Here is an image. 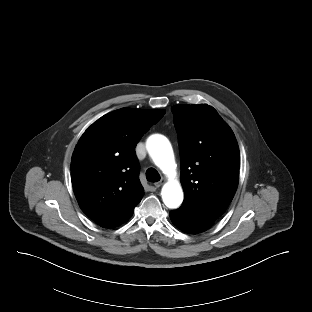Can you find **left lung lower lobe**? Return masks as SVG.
Here are the masks:
<instances>
[{
  "label": "left lung lower lobe",
  "mask_w": 312,
  "mask_h": 312,
  "mask_svg": "<svg viewBox=\"0 0 312 312\" xmlns=\"http://www.w3.org/2000/svg\"><path fill=\"white\" fill-rule=\"evenodd\" d=\"M170 218L180 230L188 233H200L213 225L214 221L198 217L181 208L171 211Z\"/></svg>",
  "instance_id": "1"
}]
</instances>
